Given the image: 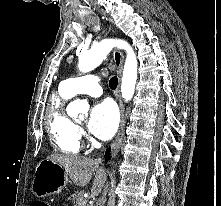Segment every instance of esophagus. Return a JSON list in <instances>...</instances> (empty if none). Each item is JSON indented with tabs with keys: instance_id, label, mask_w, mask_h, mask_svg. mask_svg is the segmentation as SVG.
<instances>
[{
	"instance_id": "34e87169",
	"label": "esophagus",
	"mask_w": 221,
	"mask_h": 206,
	"mask_svg": "<svg viewBox=\"0 0 221 206\" xmlns=\"http://www.w3.org/2000/svg\"><path fill=\"white\" fill-rule=\"evenodd\" d=\"M113 58L115 62V66L117 68L118 76H119V85H118V93H117V99L119 102V107H120V113H121V122H120V127L118 130V133L112 143V153L115 156L122 145L123 137H124V132H125V124H126V116H125V108L119 93V88H120V81H121V75H122V70H123V62H124V55L123 53L115 49L113 53Z\"/></svg>"
}]
</instances>
